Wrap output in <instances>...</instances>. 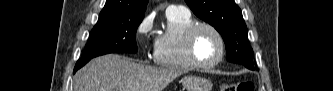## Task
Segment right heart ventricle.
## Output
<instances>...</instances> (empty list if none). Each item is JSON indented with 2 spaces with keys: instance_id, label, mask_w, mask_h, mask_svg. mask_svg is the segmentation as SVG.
Wrapping results in <instances>:
<instances>
[{
  "instance_id": "obj_1",
  "label": "right heart ventricle",
  "mask_w": 333,
  "mask_h": 91,
  "mask_svg": "<svg viewBox=\"0 0 333 91\" xmlns=\"http://www.w3.org/2000/svg\"><path fill=\"white\" fill-rule=\"evenodd\" d=\"M166 30L159 34L154 44V62L163 68L191 71L195 67L190 63L185 51V33L195 24L190 13H166Z\"/></svg>"
}]
</instances>
